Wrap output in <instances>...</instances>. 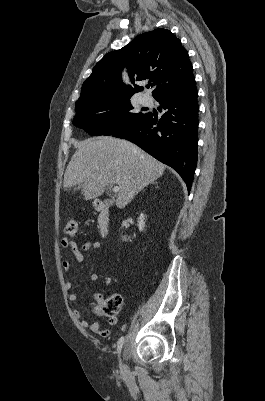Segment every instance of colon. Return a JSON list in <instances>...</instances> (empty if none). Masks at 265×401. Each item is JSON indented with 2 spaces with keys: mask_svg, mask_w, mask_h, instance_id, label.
<instances>
[{
  "mask_svg": "<svg viewBox=\"0 0 265 401\" xmlns=\"http://www.w3.org/2000/svg\"><path fill=\"white\" fill-rule=\"evenodd\" d=\"M78 224L74 219H69L65 226V233L69 237H74L77 233ZM122 298L120 295H112L102 299L96 306V311L102 316L114 317L121 309Z\"/></svg>",
  "mask_w": 265,
  "mask_h": 401,
  "instance_id": "5ec220e1",
  "label": "colon"
}]
</instances>
